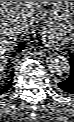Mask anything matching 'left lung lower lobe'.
Wrapping results in <instances>:
<instances>
[{"label":"left lung lower lobe","instance_id":"left-lung-lower-lobe-1","mask_svg":"<svg viewBox=\"0 0 74 122\" xmlns=\"http://www.w3.org/2000/svg\"><path fill=\"white\" fill-rule=\"evenodd\" d=\"M71 72L67 79L58 83L60 89L69 94H74V55L70 58Z\"/></svg>","mask_w":74,"mask_h":122}]
</instances>
